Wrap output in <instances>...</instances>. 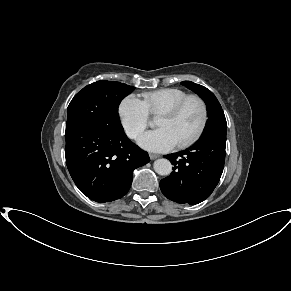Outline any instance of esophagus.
<instances>
[{
	"instance_id": "esophagus-1",
	"label": "esophagus",
	"mask_w": 291,
	"mask_h": 291,
	"mask_svg": "<svg viewBox=\"0 0 291 291\" xmlns=\"http://www.w3.org/2000/svg\"><path fill=\"white\" fill-rule=\"evenodd\" d=\"M149 157H150L151 160H154V159H156V158H159L160 155H159V154L150 153V154H149Z\"/></svg>"
}]
</instances>
